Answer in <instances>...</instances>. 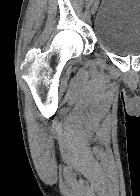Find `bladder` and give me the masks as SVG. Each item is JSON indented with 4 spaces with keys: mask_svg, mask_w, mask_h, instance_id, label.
I'll return each mask as SVG.
<instances>
[{
    "mask_svg": "<svg viewBox=\"0 0 140 196\" xmlns=\"http://www.w3.org/2000/svg\"><path fill=\"white\" fill-rule=\"evenodd\" d=\"M94 35L109 53L140 56V0H103L94 20Z\"/></svg>",
    "mask_w": 140,
    "mask_h": 196,
    "instance_id": "1",
    "label": "bladder"
}]
</instances>
